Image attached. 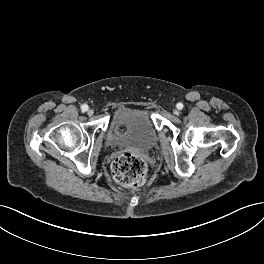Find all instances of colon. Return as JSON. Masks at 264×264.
Wrapping results in <instances>:
<instances>
[{"label": "colon", "mask_w": 264, "mask_h": 264, "mask_svg": "<svg viewBox=\"0 0 264 264\" xmlns=\"http://www.w3.org/2000/svg\"><path fill=\"white\" fill-rule=\"evenodd\" d=\"M111 170L114 181L123 188H137L146 180V162L132 153L118 156L112 163Z\"/></svg>", "instance_id": "1"}]
</instances>
